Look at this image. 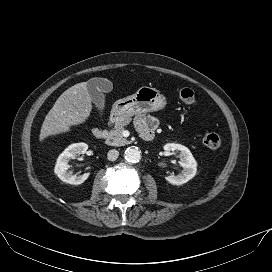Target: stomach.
I'll return each instance as SVG.
<instances>
[{"instance_id":"0dacf381","label":"stomach","mask_w":272,"mask_h":272,"mask_svg":"<svg viewBox=\"0 0 272 272\" xmlns=\"http://www.w3.org/2000/svg\"><path fill=\"white\" fill-rule=\"evenodd\" d=\"M166 105V98L158 90L143 86L135 94L117 100L111 113L118 120H126L134 115L162 110Z\"/></svg>"}]
</instances>
